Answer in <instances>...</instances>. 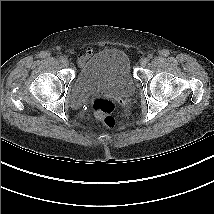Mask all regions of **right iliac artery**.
<instances>
[{
	"label": "right iliac artery",
	"instance_id": "obj_1",
	"mask_svg": "<svg viewBox=\"0 0 214 214\" xmlns=\"http://www.w3.org/2000/svg\"><path fill=\"white\" fill-rule=\"evenodd\" d=\"M64 60H65L64 57H60V58H59V61H60V62H63Z\"/></svg>",
	"mask_w": 214,
	"mask_h": 214
}]
</instances>
